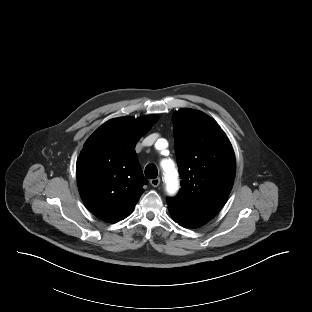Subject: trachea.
Instances as JSON below:
<instances>
[{
  "label": "trachea",
  "mask_w": 312,
  "mask_h": 312,
  "mask_svg": "<svg viewBox=\"0 0 312 312\" xmlns=\"http://www.w3.org/2000/svg\"><path fill=\"white\" fill-rule=\"evenodd\" d=\"M158 175L157 167L154 164H148L145 168V176L154 179Z\"/></svg>",
  "instance_id": "trachea-1"
}]
</instances>
